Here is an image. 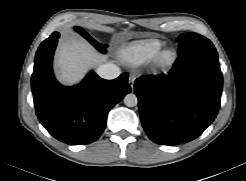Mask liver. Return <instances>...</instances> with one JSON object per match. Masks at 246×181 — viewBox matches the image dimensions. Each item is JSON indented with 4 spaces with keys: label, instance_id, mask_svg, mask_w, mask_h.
<instances>
[{
    "label": "liver",
    "instance_id": "liver-1",
    "mask_svg": "<svg viewBox=\"0 0 246 181\" xmlns=\"http://www.w3.org/2000/svg\"><path fill=\"white\" fill-rule=\"evenodd\" d=\"M103 61H106V57L96 53L89 44L70 37L62 42L57 52L59 80L65 85L78 83L89 68Z\"/></svg>",
    "mask_w": 246,
    "mask_h": 181
}]
</instances>
